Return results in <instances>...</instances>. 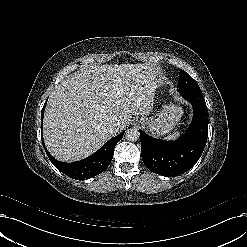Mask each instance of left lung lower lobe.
I'll return each mask as SVG.
<instances>
[{
  "mask_svg": "<svg viewBox=\"0 0 247 247\" xmlns=\"http://www.w3.org/2000/svg\"><path fill=\"white\" fill-rule=\"evenodd\" d=\"M180 94L194 109L187 132L175 142L152 138L140 132L141 156L146 167L159 175L177 176L191 169L201 157L208 137V111L200 87L179 88Z\"/></svg>",
  "mask_w": 247,
  "mask_h": 247,
  "instance_id": "obj_1",
  "label": "left lung lower lobe"
}]
</instances>
